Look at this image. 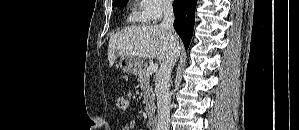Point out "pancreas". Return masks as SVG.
<instances>
[{"instance_id": "obj_1", "label": "pancreas", "mask_w": 299, "mask_h": 130, "mask_svg": "<svg viewBox=\"0 0 299 130\" xmlns=\"http://www.w3.org/2000/svg\"><path fill=\"white\" fill-rule=\"evenodd\" d=\"M139 87L142 90L145 112L147 116H152L155 113V96L153 92V86L150 83V75L147 73L146 68L140 69L138 72Z\"/></svg>"}]
</instances>
